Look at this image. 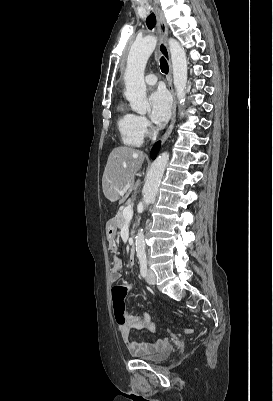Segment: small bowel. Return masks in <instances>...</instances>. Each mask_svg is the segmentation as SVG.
<instances>
[{"instance_id":"obj_1","label":"small bowel","mask_w":273,"mask_h":401,"mask_svg":"<svg viewBox=\"0 0 273 401\" xmlns=\"http://www.w3.org/2000/svg\"><path fill=\"white\" fill-rule=\"evenodd\" d=\"M123 266L122 259L120 257H113L111 261L110 269V280L117 282L121 278L120 270ZM157 309V308H156ZM172 315V314H171ZM126 323L118 325V332L124 342L128 343L131 351L136 355H155L165 350L168 347V341L166 339L143 342V343H131L130 333L131 330H149L154 332L155 326L147 313H141L139 315L127 313ZM186 326V325H185ZM191 327H186L183 332L186 334L192 333Z\"/></svg>"}]
</instances>
